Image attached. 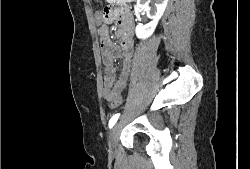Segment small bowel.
<instances>
[{
	"instance_id": "1",
	"label": "small bowel",
	"mask_w": 250,
	"mask_h": 169,
	"mask_svg": "<svg viewBox=\"0 0 250 169\" xmlns=\"http://www.w3.org/2000/svg\"><path fill=\"white\" fill-rule=\"evenodd\" d=\"M118 17L124 20V12L117 10ZM110 14H107V17ZM124 29V38L121 46H115L110 43L105 25L101 28V57L103 63L104 87L103 96L106 99L107 91H124L129 79L132 61H133V42L131 39L130 26L125 21H121ZM120 58L122 60L121 70L117 74L114 61Z\"/></svg>"
}]
</instances>
